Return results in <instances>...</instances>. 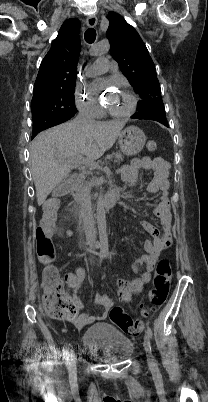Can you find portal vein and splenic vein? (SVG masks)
<instances>
[{"mask_svg": "<svg viewBox=\"0 0 208 402\" xmlns=\"http://www.w3.org/2000/svg\"><path fill=\"white\" fill-rule=\"evenodd\" d=\"M112 157L115 158L116 160L114 161L115 165L119 164V160L121 159V156L117 153H113ZM81 162H78V164H88L90 168H97V164H95L94 160H91V158H83V156H80ZM109 174V172H108Z\"/></svg>", "mask_w": 208, "mask_h": 402, "instance_id": "obj_1", "label": "portal vein and splenic vein"}]
</instances>
